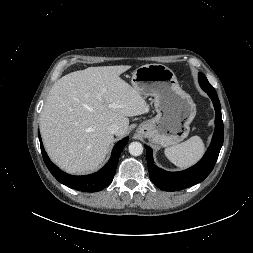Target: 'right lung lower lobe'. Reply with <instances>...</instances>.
Listing matches in <instances>:
<instances>
[{
    "mask_svg": "<svg viewBox=\"0 0 253 253\" xmlns=\"http://www.w3.org/2000/svg\"><path fill=\"white\" fill-rule=\"evenodd\" d=\"M38 135L44 162L52 175L60 183L68 186L69 188L83 192L101 191L112 182L118 164L119 155L129 139L126 137L114 146L110 160L98 172L85 176H72L61 171L50 161L44 150L40 134L38 133Z\"/></svg>",
    "mask_w": 253,
    "mask_h": 253,
    "instance_id": "98d812e1",
    "label": "right lung lower lobe"
}]
</instances>
